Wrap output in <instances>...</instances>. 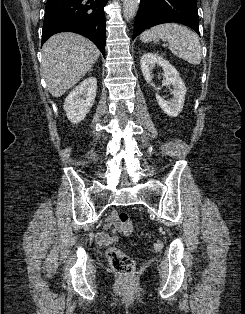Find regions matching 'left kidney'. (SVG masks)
Here are the masks:
<instances>
[{
  "label": "left kidney",
  "mask_w": 245,
  "mask_h": 314,
  "mask_svg": "<svg viewBox=\"0 0 245 314\" xmlns=\"http://www.w3.org/2000/svg\"><path fill=\"white\" fill-rule=\"evenodd\" d=\"M156 65L162 67L164 71V85L173 87V98L170 101H165L157 93L156 100L164 113L170 117H176L183 109L186 86L175 67L155 53H145L140 59L141 70L147 83H151V71Z\"/></svg>",
  "instance_id": "left-kidney-1"
}]
</instances>
